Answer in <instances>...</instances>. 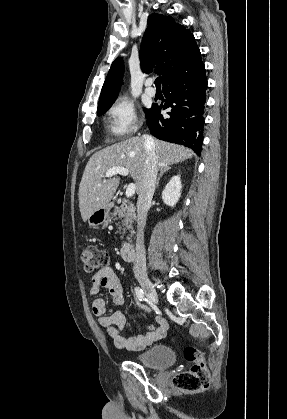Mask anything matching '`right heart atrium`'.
Wrapping results in <instances>:
<instances>
[{"label":"right heart atrium","mask_w":287,"mask_h":419,"mask_svg":"<svg viewBox=\"0 0 287 419\" xmlns=\"http://www.w3.org/2000/svg\"><path fill=\"white\" fill-rule=\"evenodd\" d=\"M108 129L115 137H125L137 128L134 104L126 97H118L107 111Z\"/></svg>","instance_id":"obj_1"}]
</instances>
